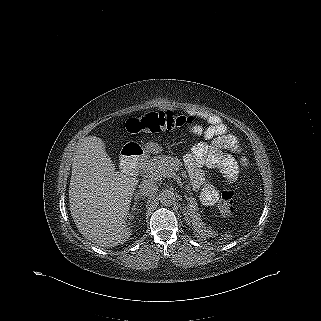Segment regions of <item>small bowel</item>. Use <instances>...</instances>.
Here are the masks:
<instances>
[{
  "instance_id": "1",
  "label": "small bowel",
  "mask_w": 321,
  "mask_h": 321,
  "mask_svg": "<svg viewBox=\"0 0 321 321\" xmlns=\"http://www.w3.org/2000/svg\"><path fill=\"white\" fill-rule=\"evenodd\" d=\"M224 133L225 127L221 124L208 127L204 131V136L208 140L214 138V141L211 145L206 143L197 145L195 153L203 156L207 167L218 169L228 181H233L238 174V166L234 160L222 153L221 148L233 145L235 139L231 135H224ZM215 200L216 197L208 194L203 195L205 204H212Z\"/></svg>"
}]
</instances>
